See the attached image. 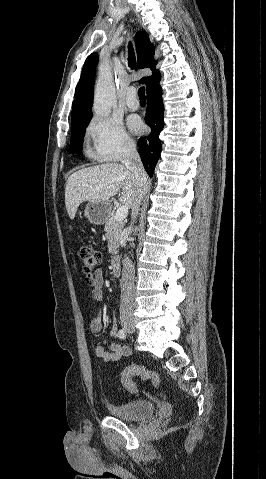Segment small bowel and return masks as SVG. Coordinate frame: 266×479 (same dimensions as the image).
<instances>
[{"label": "small bowel", "mask_w": 266, "mask_h": 479, "mask_svg": "<svg viewBox=\"0 0 266 479\" xmlns=\"http://www.w3.org/2000/svg\"><path fill=\"white\" fill-rule=\"evenodd\" d=\"M89 282L92 285V297L94 300L101 301L103 299V284L104 276L101 270L95 271L90 277ZM89 329L93 333H100L103 329V315L102 311L98 312L90 319ZM117 335V326L114 324L111 329V336ZM131 350L127 346L118 343H112L110 350H105L101 345L95 348V355L98 359L104 362H112L121 359L122 357L130 355Z\"/></svg>", "instance_id": "small-bowel-1"}]
</instances>
